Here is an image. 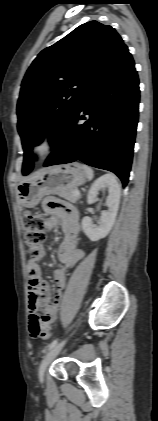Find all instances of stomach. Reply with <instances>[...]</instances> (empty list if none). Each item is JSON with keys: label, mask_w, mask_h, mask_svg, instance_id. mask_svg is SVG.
<instances>
[{"label": "stomach", "mask_w": 158, "mask_h": 421, "mask_svg": "<svg viewBox=\"0 0 158 421\" xmlns=\"http://www.w3.org/2000/svg\"><path fill=\"white\" fill-rule=\"evenodd\" d=\"M84 182L85 172L80 164L52 166L39 176L20 183L17 190L18 198L24 207L33 208L43 196L75 189Z\"/></svg>", "instance_id": "obj_1"}]
</instances>
